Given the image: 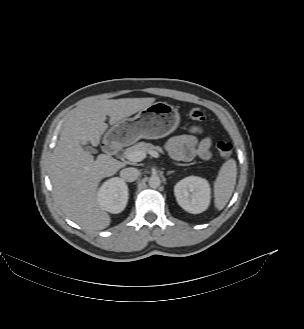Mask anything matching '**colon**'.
Instances as JSON below:
<instances>
[{"label": "colon", "instance_id": "5ec220e1", "mask_svg": "<svg viewBox=\"0 0 304 329\" xmlns=\"http://www.w3.org/2000/svg\"><path fill=\"white\" fill-rule=\"evenodd\" d=\"M188 116L191 120L200 122L205 119V111L202 107H192L188 111ZM215 145L221 157L229 158L231 156L232 145L230 142L224 140H217Z\"/></svg>", "mask_w": 304, "mask_h": 329}]
</instances>
